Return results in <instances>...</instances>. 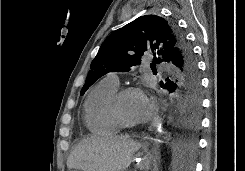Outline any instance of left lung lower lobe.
I'll return each instance as SVG.
<instances>
[{"mask_svg": "<svg viewBox=\"0 0 245 171\" xmlns=\"http://www.w3.org/2000/svg\"><path fill=\"white\" fill-rule=\"evenodd\" d=\"M170 63L174 66L175 74L166 78L167 82L161 87L170 92L176 91L178 123L187 129L195 128L200 119L201 85L191 47L176 51ZM174 146L178 157L176 167H191V159L197 146L196 137L192 133L182 132L176 136Z\"/></svg>", "mask_w": 245, "mask_h": 171, "instance_id": "obj_1", "label": "left lung lower lobe"}]
</instances>
